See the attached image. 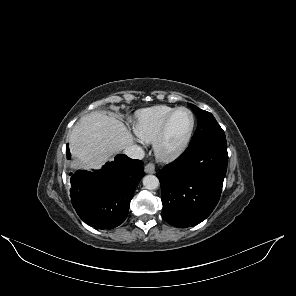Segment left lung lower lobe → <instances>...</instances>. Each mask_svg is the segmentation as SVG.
I'll return each mask as SVG.
<instances>
[{
	"instance_id": "0a47b994",
	"label": "left lung lower lobe",
	"mask_w": 296,
	"mask_h": 296,
	"mask_svg": "<svg viewBox=\"0 0 296 296\" xmlns=\"http://www.w3.org/2000/svg\"><path fill=\"white\" fill-rule=\"evenodd\" d=\"M228 162L226 138L189 146L156 176L161 183L162 216L185 228L205 220L217 205Z\"/></svg>"
}]
</instances>
